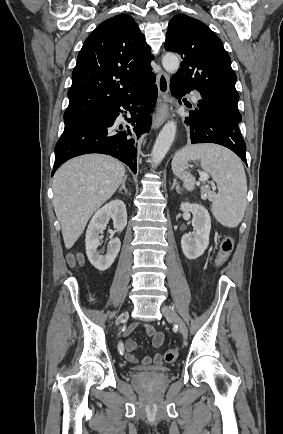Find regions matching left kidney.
<instances>
[{"mask_svg": "<svg viewBox=\"0 0 283 434\" xmlns=\"http://www.w3.org/2000/svg\"><path fill=\"white\" fill-rule=\"evenodd\" d=\"M181 211H189L193 215L194 232L183 235L181 247L184 255L194 260L200 257L209 245L211 218L208 210L200 204L182 203Z\"/></svg>", "mask_w": 283, "mask_h": 434, "instance_id": "1", "label": "left kidney"}]
</instances>
